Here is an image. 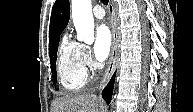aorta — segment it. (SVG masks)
Returning <instances> with one entry per match:
<instances>
[{
    "mask_svg": "<svg viewBox=\"0 0 193 112\" xmlns=\"http://www.w3.org/2000/svg\"><path fill=\"white\" fill-rule=\"evenodd\" d=\"M72 19L77 39L87 44L94 42V19L91 0H72Z\"/></svg>",
    "mask_w": 193,
    "mask_h": 112,
    "instance_id": "762f6f07",
    "label": "aorta"
}]
</instances>
